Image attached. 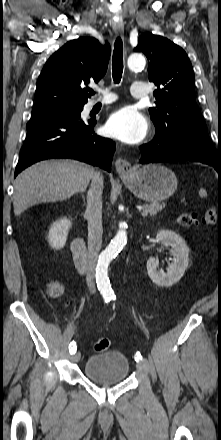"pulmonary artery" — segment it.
Masks as SVG:
<instances>
[{"label": "pulmonary artery", "mask_w": 221, "mask_h": 440, "mask_svg": "<svg viewBox=\"0 0 221 440\" xmlns=\"http://www.w3.org/2000/svg\"><path fill=\"white\" fill-rule=\"evenodd\" d=\"M130 92L133 97L136 98H145L148 95V89L147 87L140 82H134L132 83L130 87ZM116 97L107 91H103V97L100 100L91 101L87 105V109H90L92 106H94L96 103H101L103 105H107L115 101Z\"/></svg>", "instance_id": "obj_1"}]
</instances>
